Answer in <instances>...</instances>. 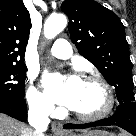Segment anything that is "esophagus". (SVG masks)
Instances as JSON below:
<instances>
[{
	"label": "esophagus",
	"instance_id": "1",
	"mask_svg": "<svg viewBox=\"0 0 136 136\" xmlns=\"http://www.w3.org/2000/svg\"><path fill=\"white\" fill-rule=\"evenodd\" d=\"M52 130L54 133H57V134L63 133L62 124L60 122L54 121L52 123Z\"/></svg>",
	"mask_w": 136,
	"mask_h": 136
}]
</instances>
